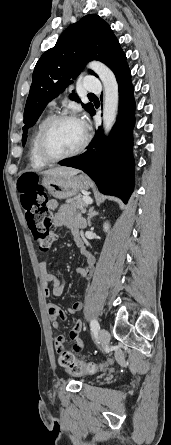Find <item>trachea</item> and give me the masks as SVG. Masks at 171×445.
I'll return each instance as SVG.
<instances>
[{"label": "trachea", "mask_w": 171, "mask_h": 445, "mask_svg": "<svg viewBox=\"0 0 171 445\" xmlns=\"http://www.w3.org/2000/svg\"><path fill=\"white\" fill-rule=\"evenodd\" d=\"M88 96L89 97H96L95 94H92V93L88 94Z\"/></svg>", "instance_id": "3493384b"}]
</instances>
